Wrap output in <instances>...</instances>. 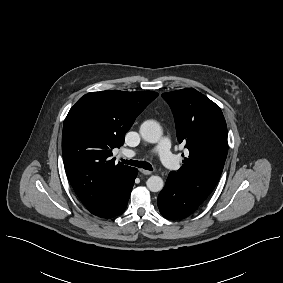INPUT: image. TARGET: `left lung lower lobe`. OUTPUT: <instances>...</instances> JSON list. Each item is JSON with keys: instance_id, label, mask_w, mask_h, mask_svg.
Here are the masks:
<instances>
[{"instance_id": "obj_1", "label": "left lung lower lobe", "mask_w": 283, "mask_h": 283, "mask_svg": "<svg viewBox=\"0 0 283 283\" xmlns=\"http://www.w3.org/2000/svg\"><path fill=\"white\" fill-rule=\"evenodd\" d=\"M199 206L200 203L184 190L176 178L169 175L158 196L160 213L169 219L183 218L192 214Z\"/></svg>"}]
</instances>
